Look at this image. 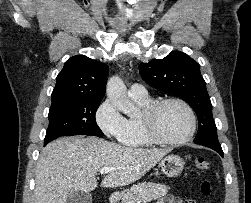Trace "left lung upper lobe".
I'll return each mask as SVG.
<instances>
[{
    "label": "left lung upper lobe",
    "mask_w": 251,
    "mask_h": 203,
    "mask_svg": "<svg viewBox=\"0 0 251 203\" xmlns=\"http://www.w3.org/2000/svg\"><path fill=\"white\" fill-rule=\"evenodd\" d=\"M139 72L147 84L180 97L194 109L199 122L194 143L206 147L220 146L212 104L196 61L183 52L174 51L163 59L140 63Z\"/></svg>",
    "instance_id": "obj_1"
}]
</instances>
